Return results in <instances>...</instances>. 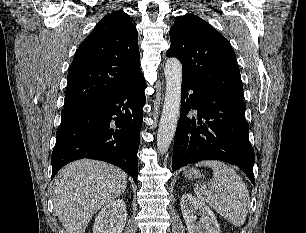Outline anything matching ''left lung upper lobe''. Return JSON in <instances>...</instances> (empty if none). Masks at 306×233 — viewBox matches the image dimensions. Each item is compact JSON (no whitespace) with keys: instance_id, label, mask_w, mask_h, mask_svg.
Returning a JSON list of instances; mask_svg holds the SVG:
<instances>
[{"instance_id":"obj_1","label":"left lung upper lobe","mask_w":306,"mask_h":233,"mask_svg":"<svg viewBox=\"0 0 306 233\" xmlns=\"http://www.w3.org/2000/svg\"><path fill=\"white\" fill-rule=\"evenodd\" d=\"M170 41L166 55L182 62V79L204 89L242 95L234 50L207 22L193 14L177 17L170 28Z\"/></svg>"}]
</instances>
